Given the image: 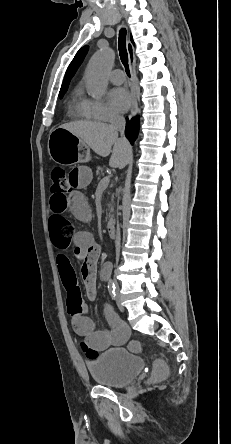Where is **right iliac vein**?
<instances>
[{"label":"right iliac vein","mask_w":231,"mask_h":444,"mask_svg":"<svg viewBox=\"0 0 231 444\" xmlns=\"http://www.w3.org/2000/svg\"><path fill=\"white\" fill-rule=\"evenodd\" d=\"M118 290H119V288H118V285H117V292H118ZM120 302V301H119Z\"/></svg>","instance_id":"obj_1"}]
</instances>
